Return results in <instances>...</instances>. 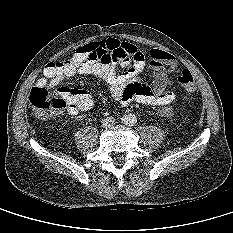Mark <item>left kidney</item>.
I'll use <instances>...</instances> for the list:
<instances>
[{
	"instance_id": "left-kidney-1",
	"label": "left kidney",
	"mask_w": 233,
	"mask_h": 233,
	"mask_svg": "<svg viewBox=\"0 0 233 233\" xmlns=\"http://www.w3.org/2000/svg\"><path fill=\"white\" fill-rule=\"evenodd\" d=\"M165 114H168L169 113V109L168 108H166V109H164V111H163Z\"/></svg>"
}]
</instances>
